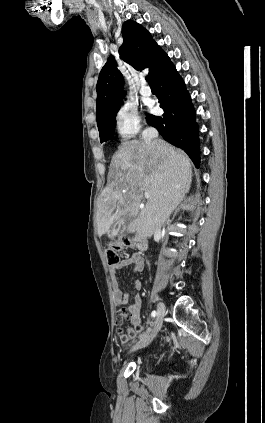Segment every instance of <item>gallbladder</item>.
Wrapping results in <instances>:
<instances>
[{
	"label": "gallbladder",
	"instance_id": "bac80fb5",
	"mask_svg": "<svg viewBox=\"0 0 265 423\" xmlns=\"http://www.w3.org/2000/svg\"><path fill=\"white\" fill-rule=\"evenodd\" d=\"M125 222L126 221H122V220H119V221H117V223L113 226V228H112V233H111V237L113 238V237H115L116 235H117V232L121 229V228H123V226H124V224H125Z\"/></svg>",
	"mask_w": 265,
	"mask_h": 423
}]
</instances>
